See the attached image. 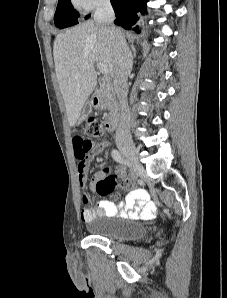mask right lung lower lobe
<instances>
[{"instance_id": "98d812e1", "label": "right lung lower lobe", "mask_w": 227, "mask_h": 298, "mask_svg": "<svg viewBox=\"0 0 227 298\" xmlns=\"http://www.w3.org/2000/svg\"><path fill=\"white\" fill-rule=\"evenodd\" d=\"M111 4L115 11L114 23L116 25L127 30L132 28L134 31H139V27H133V25L138 19L137 13L144 14L146 12V0H111Z\"/></svg>"}]
</instances>
